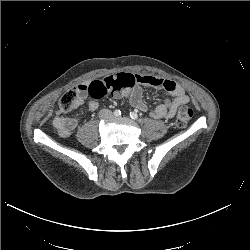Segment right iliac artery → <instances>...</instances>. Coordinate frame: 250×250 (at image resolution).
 <instances>
[{"mask_svg":"<svg viewBox=\"0 0 250 250\" xmlns=\"http://www.w3.org/2000/svg\"><path fill=\"white\" fill-rule=\"evenodd\" d=\"M114 115L115 116H120L121 115V111L120 110H115L114 111Z\"/></svg>","mask_w":250,"mask_h":250,"instance_id":"82829eb1","label":"right iliac artery"}]
</instances>
